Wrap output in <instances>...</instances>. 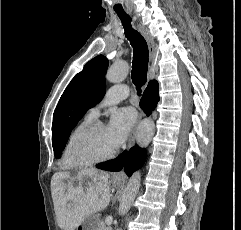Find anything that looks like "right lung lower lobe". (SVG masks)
Returning <instances> with one entry per match:
<instances>
[{
    "mask_svg": "<svg viewBox=\"0 0 241 230\" xmlns=\"http://www.w3.org/2000/svg\"><path fill=\"white\" fill-rule=\"evenodd\" d=\"M159 84L157 81L152 80L148 83L144 91L143 97L140 101V107L144 112L149 115L153 111L159 101Z\"/></svg>",
    "mask_w": 241,
    "mask_h": 230,
    "instance_id": "obj_1",
    "label": "right lung lower lobe"
}]
</instances>
